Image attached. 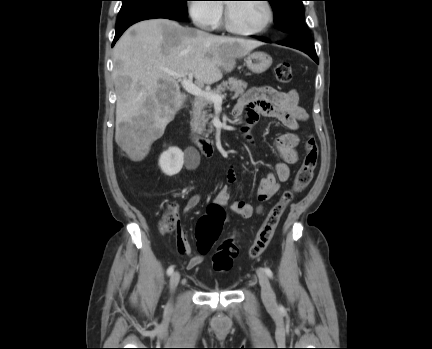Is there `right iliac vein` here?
Masks as SVG:
<instances>
[{
  "label": "right iliac vein",
  "mask_w": 432,
  "mask_h": 349,
  "mask_svg": "<svg viewBox=\"0 0 432 349\" xmlns=\"http://www.w3.org/2000/svg\"><path fill=\"white\" fill-rule=\"evenodd\" d=\"M180 281L179 272H174L170 277V290L173 292Z\"/></svg>",
  "instance_id": "obj_1"
}]
</instances>
